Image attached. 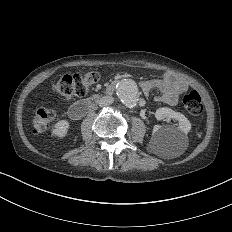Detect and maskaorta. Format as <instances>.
I'll list each match as a JSON object with an SVG mask.
<instances>
[{"label":"aorta","instance_id":"obj_1","mask_svg":"<svg viewBox=\"0 0 232 232\" xmlns=\"http://www.w3.org/2000/svg\"><path fill=\"white\" fill-rule=\"evenodd\" d=\"M118 97L122 103L129 108L136 106L138 101V87L136 83L129 79L120 81L116 87Z\"/></svg>","mask_w":232,"mask_h":232}]
</instances>
